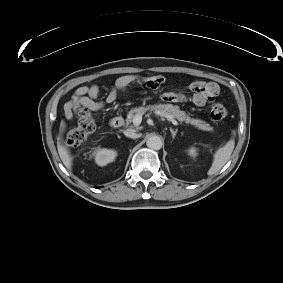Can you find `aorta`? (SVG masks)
I'll list each match as a JSON object with an SVG mask.
<instances>
[{"instance_id":"1","label":"aorta","mask_w":283,"mask_h":283,"mask_svg":"<svg viewBox=\"0 0 283 283\" xmlns=\"http://www.w3.org/2000/svg\"><path fill=\"white\" fill-rule=\"evenodd\" d=\"M146 145L152 150H160L162 148V140L157 135H151L148 137Z\"/></svg>"}]
</instances>
